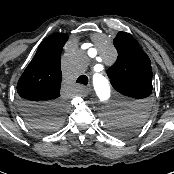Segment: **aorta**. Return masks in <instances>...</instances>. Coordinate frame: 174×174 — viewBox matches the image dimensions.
Masks as SVG:
<instances>
[{
  "instance_id": "762f6f07",
  "label": "aorta",
  "mask_w": 174,
  "mask_h": 174,
  "mask_svg": "<svg viewBox=\"0 0 174 174\" xmlns=\"http://www.w3.org/2000/svg\"><path fill=\"white\" fill-rule=\"evenodd\" d=\"M104 53L110 55L113 60L116 57V52L112 45L106 44ZM94 90L101 110V122L104 125H109L110 117H122L125 114L123 110L117 108V103L114 100V93L111 85L104 76H95Z\"/></svg>"
}]
</instances>
